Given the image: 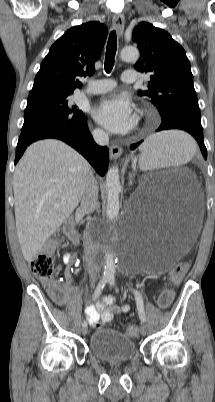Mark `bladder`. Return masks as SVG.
I'll return each mask as SVG.
<instances>
[{"label": "bladder", "mask_w": 215, "mask_h": 402, "mask_svg": "<svg viewBox=\"0 0 215 402\" xmlns=\"http://www.w3.org/2000/svg\"><path fill=\"white\" fill-rule=\"evenodd\" d=\"M89 350L96 358L106 362H123L136 354L134 340L117 330L98 328L89 338Z\"/></svg>", "instance_id": "1"}]
</instances>
